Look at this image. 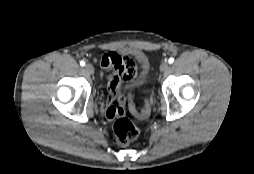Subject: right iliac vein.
<instances>
[{
    "instance_id": "63e3f726",
    "label": "right iliac vein",
    "mask_w": 254,
    "mask_h": 174,
    "mask_svg": "<svg viewBox=\"0 0 254 174\" xmlns=\"http://www.w3.org/2000/svg\"><path fill=\"white\" fill-rule=\"evenodd\" d=\"M84 70L88 73V74H94V67L91 64H86L84 66Z\"/></svg>"
}]
</instances>
